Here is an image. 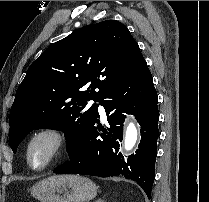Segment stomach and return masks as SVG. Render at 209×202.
<instances>
[{"instance_id":"0dacf381","label":"stomach","mask_w":209,"mask_h":202,"mask_svg":"<svg viewBox=\"0 0 209 202\" xmlns=\"http://www.w3.org/2000/svg\"><path fill=\"white\" fill-rule=\"evenodd\" d=\"M31 195L40 202H88L97 186L80 175H53L35 183Z\"/></svg>"}]
</instances>
